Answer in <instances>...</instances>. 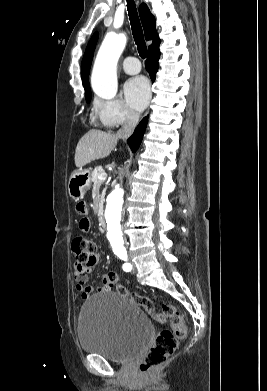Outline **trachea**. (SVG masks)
Masks as SVG:
<instances>
[{
  "mask_svg": "<svg viewBox=\"0 0 267 391\" xmlns=\"http://www.w3.org/2000/svg\"><path fill=\"white\" fill-rule=\"evenodd\" d=\"M127 10L131 24L134 41L137 45V50L141 58L145 59L147 54V46L144 40L143 30L137 13L134 0H127Z\"/></svg>",
  "mask_w": 267,
  "mask_h": 391,
  "instance_id": "3493384b",
  "label": "trachea"
}]
</instances>
